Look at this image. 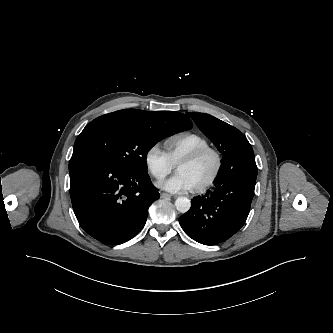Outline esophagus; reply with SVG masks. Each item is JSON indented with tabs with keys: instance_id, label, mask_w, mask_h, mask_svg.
<instances>
[{
	"instance_id": "esophagus-1",
	"label": "esophagus",
	"mask_w": 333,
	"mask_h": 333,
	"mask_svg": "<svg viewBox=\"0 0 333 333\" xmlns=\"http://www.w3.org/2000/svg\"><path fill=\"white\" fill-rule=\"evenodd\" d=\"M161 197L165 198V199H170L171 195L163 192V193H161Z\"/></svg>"
}]
</instances>
